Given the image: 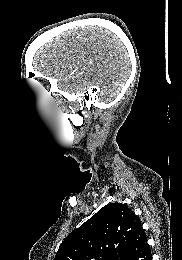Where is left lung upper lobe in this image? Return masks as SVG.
Listing matches in <instances>:
<instances>
[{"mask_svg": "<svg viewBox=\"0 0 182 260\" xmlns=\"http://www.w3.org/2000/svg\"><path fill=\"white\" fill-rule=\"evenodd\" d=\"M140 227L125 204H107L66 237L54 260H120Z\"/></svg>", "mask_w": 182, "mask_h": 260, "instance_id": "left-lung-upper-lobe-1", "label": "left lung upper lobe"}]
</instances>
